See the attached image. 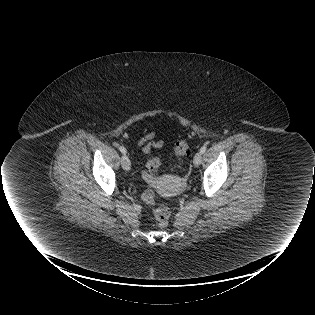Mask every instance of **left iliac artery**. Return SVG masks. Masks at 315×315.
I'll use <instances>...</instances> for the list:
<instances>
[{
	"label": "left iliac artery",
	"mask_w": 315,
	"mask_h": 315,
	"mask_svg": "<svg viewBox=\"0 0 315 315\" xmlns=\"http://www.w3.org/2000/svg\"><path fill=\"white\" fill-rule=\"evenodd\" d=\"M207 150V147L204 145L201 147L200 152L203 154Z\"/></svg>",
	"instance_id": "44dca946"
}]
</instances>
